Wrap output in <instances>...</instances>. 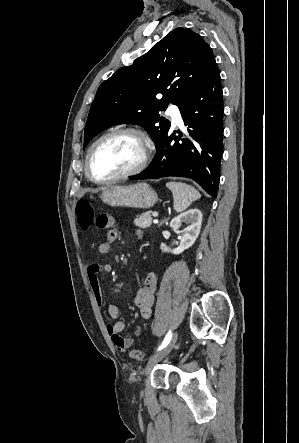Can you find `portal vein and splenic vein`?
I'll list each match as a JSON object with an SVG mask.
<instances>
[{
  "label": "portal vein and splenic vein",
  "instance_id": "obj_1",
  "mask_svg": "<svg viewBox=\"0 0 299 443\" xmlns=\"http://www.w3.org/2000/svg\"><path fill=\"white\" fill-rule=\"evenodd\" d=\"M152 216H153V217H158V212H153V213H152Z\"/></svg>",
  "mask_w": 299,
  "mask_h": 443
}]
</instances>
